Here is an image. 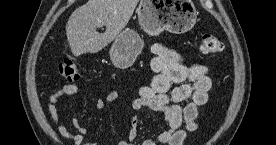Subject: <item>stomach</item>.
I'll list each match as a JSON object with an SVG mask.
<instances>
[{
  "mask_svg": "<svg viewBox=\"0 0 276 145\" xmlns=\"http://www.w3.org/2000/svg\"><path fill=\"white\" fill-rule=\"evenodd\" d=\"M137 14L142 29L150 36H157L163 31L179 34L192 29L198 12L192 0H141ZM142 48L138 33L125 29L111 46V61L119 69L129 68Z\"/></svg>",
  "mask_w": 276,
  "mask_h": 145,
  "instance_id": "stomach-1",
  "label": "stomach"
}]
</instances>
